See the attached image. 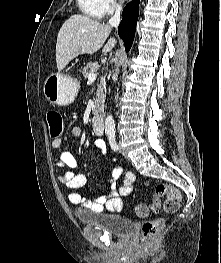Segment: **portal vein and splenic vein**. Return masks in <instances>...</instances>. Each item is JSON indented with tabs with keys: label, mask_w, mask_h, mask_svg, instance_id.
<instances>
[{
	"label": "portal vein and splenic vein",
	"mask_w": 221,
	"mask_h": 263,
	"mask_svg": "<svg viewBox=\"0 0 221 263\" xmlns=\"http://www.w3.org/2000/svg\"><path fill=\"white\" fill-rule=\"evenodd\" d=\"M96 78H97V74L96 73H90L89 75H88V82H93V81H95L96 80Z\"/></svg>",
	"instance_id": "1"
}]
</instances>
